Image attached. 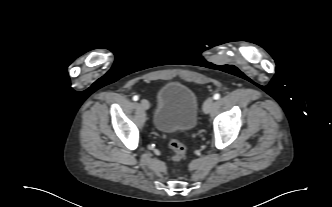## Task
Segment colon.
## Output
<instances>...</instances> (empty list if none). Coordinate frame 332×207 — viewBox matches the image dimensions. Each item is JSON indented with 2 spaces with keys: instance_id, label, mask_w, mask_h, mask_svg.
<instances>
[{
  "instance_id": "colon-1",
  "label": "colon",
  "mask_w": 332,
  "mask_h": 207,
  "mask_svg": "<svg viewBox=\"0 0 332 207\" xmlns=\"http://www.w3.org/2000/svg\"><path fill=\"white\" fill-rule=\"evenodd\" d=\"M169 147L173 152L172 160L178 162L182 160L186 153V148L182 142L176 138H172L169 142Z\"/></svg>"
}]
</instances>
